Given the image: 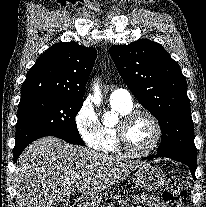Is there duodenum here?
Returning a JSON list of instances; mask_svg holds the SVG:
<instances>
[{
    "instance_id": "duodenum-1",
    "label": "duodenum",
    "mask_w": 206,
    "mask_h": 207,
    "mask_svg": "<svg viewBox=\"0 0 206 207\" xmlns=\"http://www.w3.org/2000/svg\"><path fill=\"white\" fill-rule=\"evenodd\" d=\"M76 207H87L88 202L85 198H81L78 201L75 202Z\"/></svg>"
}]
</instances>
